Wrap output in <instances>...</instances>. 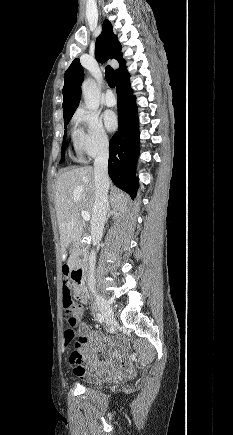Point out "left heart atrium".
<instances>
[{"mask_svg": "<svg viewBox=\"0 0 233 435\" xmlns=\"http://www.w3.org/2000/svg\"><path fill=\"white\" fill-rule=\"evenodd\" d=\"M103 119L108 130L112 131L117 127V117L114 112L106 111L103 115Z\"/></svg>", "mask_w": 233, "mask_h": 435, "instance_id": "left-heart-atrium-1", "label": "left heart atrium"}]
</instances>
